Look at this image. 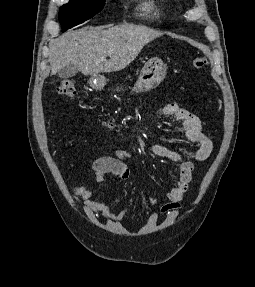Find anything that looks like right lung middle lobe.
I'll return each instance as SVG.
<instances>
[{"label": "right lung middle lobe", "instance_id": "dd1d6c3e", "mask_svg": "<svg viewBox=\"0 0 255 287\" xmlns=\"http://www.w3.org/2000/svg\"><path fill=\"white\" fill-rule=\"evenodd\" d=\"M105 0H70L59 11V21L64 30L75 27L99 13Z\"/></svg>", "mask_w": 255, "mask_h": 287}]
</instances>
